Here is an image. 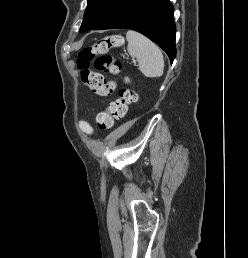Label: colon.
I'll return each mask as SVG.
<instances>
[{
	"instance_id": "1",
	"label": "colon",
	"mask_w": 248,
	"mask_h": 258,
	"mask_svg": "<svg viewBox=\"0 0 248 258\" xmlns=\"http://www.w3.org/2000/svg\"><path fill=\"white\" fill-rule=\"evenodd\" d=\"M122 43V36L114 34L98 39L94 44L86 46L80 51L77 58V69L81 74L83 83L92 93L107 96L112 92V85L107 83L99 72L112 75L120 72L121 62L108 51ZM91 64L99 72L90 71ZM125 82H128L127 78H125ZM135 101L136 94L132 89L121 88L118 92V98L112 101L105 111L98 113L96 118L98 128L102 131L109 130L113 126L114 120L125 117L128 106Z\"/></svg>"
}]
</instances>
